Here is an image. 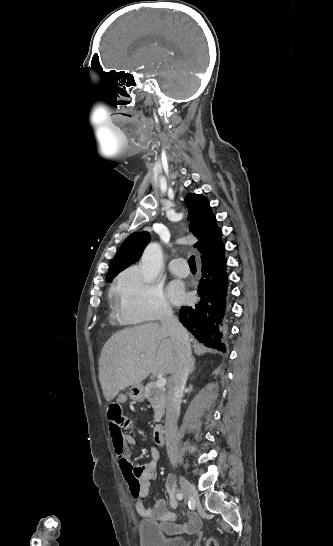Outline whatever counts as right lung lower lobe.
Returning a JSON list of instances; mask_svg holds the SVG:
<instances>
[{
  "label": "right lung lower lobe",
  "mask_w": 333,
  "mask_h": 546,
  "mask_svg": "<svg viewBox=\"0 0 333 546\" xmlns=\"http://www.w3.org/2000/svg\"><path fill=\"white\" fill-rule=\"evenodd\" d=\"M224 244L208 258L202 259V278L198 285L199 302L181 307L179 321L208 347L225 351L221 328L227 302L228 274Z\"/></svg>",
  "instance_id": "98d812e1"
}]
</instances>
